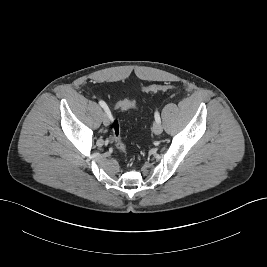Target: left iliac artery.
<instances>
[{"label": "left iliac artery", "mask_w": 267, "mask_h": 267, "mask_svg": "<svg viewBox=\"0 0 267 267\" xmlns=\"http://www.w3.org/2000/svg\"><path fill=\"white\" fill-rule=\"evenodd\" d=\"M154 117H155L156 122L161 123V119H160V115L158 111L155 112Z\"/></svg>", "instance_id": "44dca946"}]
</instances>
